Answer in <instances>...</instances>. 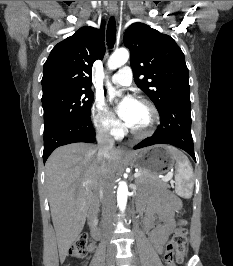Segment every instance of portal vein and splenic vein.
Returning a JSON list of instances; mask_svg holds the SVG:
<instances>
[{
	"mask_svg": "<svg viewBox=\"0 0 233 266\" xmlns=\"http://www.w3.org/2000/svg\"><path fill=\"white\" fill-rule=\"evenodd\" d=\"M140 175H141L140 172H136V173L134 174V177L137 178V177H139ZM171 178H172V173H168L167 175H165L164 177H162V180L165 181V182H167V181H169ZM90 184H91V181H86V182H84V185H85V186L90 185Z\"/></svg>",
	"mask_w": 233,
	"mask_h": 266,
	"instance_id": "portal-vein-and-splenic-vein-1",
	"label": "portal vein and splenic vein"
}]
</instances>
